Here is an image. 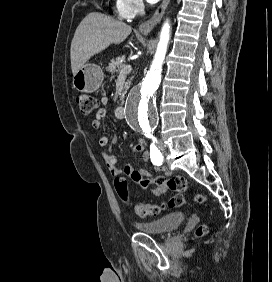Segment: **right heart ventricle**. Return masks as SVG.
Listing matches in <instances>:
<instances>
[{"label": "right heart ventricle", "mask_w": 272, "mask_h": 282, "mask_svg": "<svg viewBox=\"0 0 272 282\" xmlns=\"http://www.w3.org/2000/svg\"><path fill=\"white\" fill-rule=\"evenodd\" d=\"M120 18H122V19H127L126 17H123V16H120Z\"/></svg>", "instance_id": "1"}]
</instances>
